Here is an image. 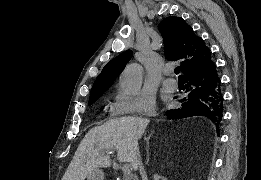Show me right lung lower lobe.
<instances>
[{"instance_id": "1", "label": "right lung lower lobe", "mask_w": 261, "mask_h": 180, "mask_svg": "<svg viewBox=\"0 0 261 180\" xmlns=\"http://www.w3.org/2000/svg\"><path fill=\"white\" fill-rule=\"evenodd\" d=\"M186 94L180 99V106L167 112L170 119H181L191 116H206L216 126L217 133L223 117V95L221 81L215 64L209 63L195 67L184 73Z\"/></svg>"}]
</instances>
